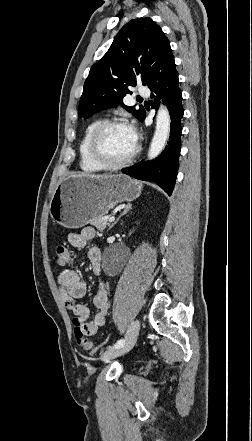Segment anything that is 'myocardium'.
Listing matches in <instances>:
<instances>
[{"label": "myocardium", "instance_id": "f54148a6", "mask_svg": "<svg viewBox=\"0 0 252 441\" xmlns=\"http://www.w3.org/2000/svg\"><path fill=\"white\" fill-rule=\"evenodd\" d=\"M112 126H127L129 128H131V126L129 125V123L123 119H119V118H112V119H106L101 121L93 130L90 140H89V144H88V152L89 155L91 157V159L97 163L98 165H100L102 168L104 169H108V170H117V169H121L126 167L128 164H130L133 159L135 158V156L137 155L138 151H139V146L137 143H135V147L133 149V151L122 161L117 162V163H112L107 161L99 152V139L101 137V135L103 134V132Z\"/></svg>", "mask_w": 252, "mask_h": 441}]
</instances>
